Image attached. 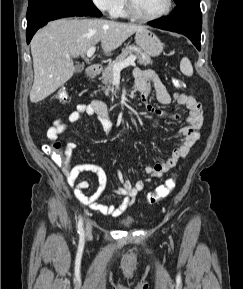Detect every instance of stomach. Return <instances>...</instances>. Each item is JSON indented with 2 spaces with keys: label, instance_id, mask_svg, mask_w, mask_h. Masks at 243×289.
Returning <instances> with one entry per match:
<instances>
[{
  "label": "stomach",
  "instance_id": "stomach-1",
  "mask_svg": "<svg viewBox=\"0 0 243 289\" xmlns=\"http://www.w3.org/2000/svg\"><path fill=\"white\" fill-rule=\"evenodd\" d=\"M135 41L145 54L152 57L158 56L164 48L160 39L147 28L136 32Z\"/></svg>",
  "mask_w": 243,
  "mask_h": 289
}]
</instances>
